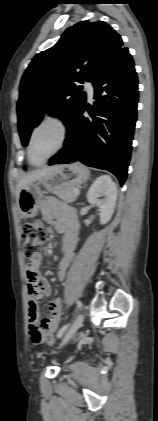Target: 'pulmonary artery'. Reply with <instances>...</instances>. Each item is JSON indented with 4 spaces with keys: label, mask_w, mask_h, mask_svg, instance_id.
I'll return each mask as SVG.
<instances>
[{
    "label": "pulmonary artery",
    "mask_w": 158,
    "mask_h": 421,
    "mask_svg": "<svg viewBox=\"0 0 158 421\" xmlns=\"http://www.w3.org/2000/svg\"><path fill=\"white\" fill-rule=\"evenodd\" d=\"M85 89H86V92L88 94L89 99H92L93 98V95H94V86H93V84L91 82H87L85 84Z\"/></svg>",
    "instance_id": "e3ab8cb5"
}]
</instances>
